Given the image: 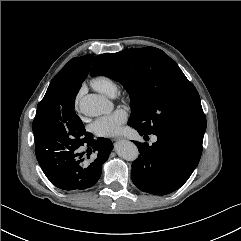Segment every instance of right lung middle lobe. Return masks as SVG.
Segmentation results:
<instances>
[{
    "label": "right lung middle lobe",
    "instance_id": "right-lung-middle-lobe-1",
    "mask_svg": "<svg viewBox=\"0 0 241 241\" xmlns=\"http://www.w3.org/2000/svg\"><path fill=\"white\" fill-rule=\"evenodd\" d=\"M75 97L71 95L64 105L45 96L39 102L32 128L41 144L57 150L72 149L81 146L89 137L90 133L74 111Z\"/></svg>",
    "mask_w": 241,
    "mask_h": 241
}]
</instances>
